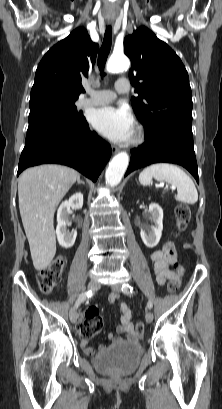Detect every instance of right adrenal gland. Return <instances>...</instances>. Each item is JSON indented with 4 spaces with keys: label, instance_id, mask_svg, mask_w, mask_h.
<instances>
[{
    "label": "right adrenal gland",
    "instance_id": "1",
    "mask_svg": "<svg viewBox=\"0 0 222 409\" xmlns=\"http://www.w3.org/2000/svg\"><path fill=\"white\" fill-rule=\"evenodd\" d=\"M77 184H85L82 180H80V177L77 178Z\"/></svg>",
    "mask_w": 222,
    "mask_h": 409
}]
</instances>
